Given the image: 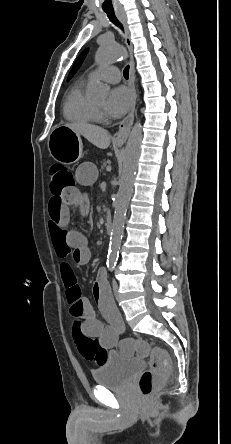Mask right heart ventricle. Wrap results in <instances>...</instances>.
<instances>
[{"label": "right heart ventricle", "mask_w": 231, "mask_h": 444, "mask_svg": "<svg viewBox=\"0 0 231 444\" xmlns=\"http://www.w3.org/2000/svg\"><path fill=\"white\" fill-rule=\"evenodd\" d=\"M85 86V80L78 82L65 98L63 112L68 121L93 123L99 120L96 106L85 95Z\"/></svg>", "instance_id": "1"}]
</instances>
